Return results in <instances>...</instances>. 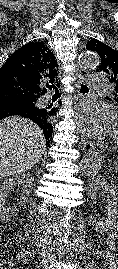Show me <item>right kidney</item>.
Wrapping results in <instances>:
<instances>
[{
    "mask_svg": "<svg viewBox=\"0 0 118 269\" xmlns=\"http://www.w3.org/2000/svg\"><path fill=\"white\" fill-rule=\"evenodd\" d=\"M34 181L33 176L30 173L17 174L12 178L6 179L0 185V220L7 222L12 216H14L15 211L13 207L6 206V199L10 190L13 189L15 185L23 184V192L29 194V188ZM23 202H27V198H23Z\"/></svg>",
    "mask_w": 118,
    "mask_h": 269,
    "instance_id": "1",
    "label": "right kidney"
}]
</instances>
